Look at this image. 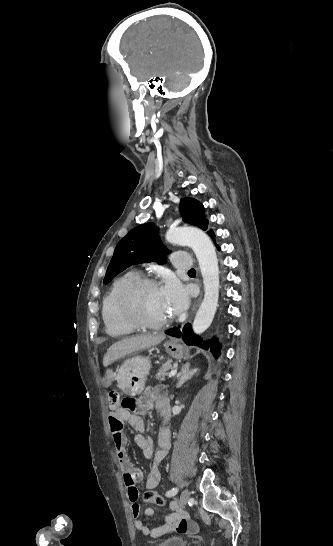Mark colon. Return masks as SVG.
Wrapping results in <instances>:
<instances>
[{"instance_id":"obj_1","label":"colon","mask_w":333,"mask_h":546,"mask_svg":"<svg viewBox=\"0 0 333 546\" xmlns=\"http://www.w3.org/2000/svg\"><path fill=\"white\" fill-rule=\"evenodd\" d=\"M110 404L113 406L119 404V397L117 394L113 393L110 395ZM122 406L127 408H133L135 406V401L132 398L124 399L122 401ZM144 500L147 503H153L160 506L165 504L164 498L154 491H147L144 494Z\"/></svg>"}]
</instances>
